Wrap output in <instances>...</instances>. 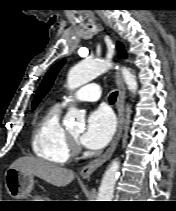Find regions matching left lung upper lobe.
<instances>
[{"label": "left lung upper lobe", "mask_w": 176, "mask_h": 211, "mask_svg": "<svg viewBox=\"0 0 176 211\" xmlns=\"http://www.w3.org/2000/svg\"><path fill=\"white\" fill-rule=\"evenodd\" d=\"M119 56L125 58L126 57V53L123 49H120L118 51ZM65 60H62L60 62H58L57 64H55L46 74V76L44 77L40 87L38 88V91L34 97V100L32 102V108L34 109L37 104L40 102V100L44 97V95L49 91V89L51 88L53 81L58 73V71L60 70V68L62 67V65L64 64Z\"/></svg>", "instance_id": "5c2ea615"}]
</instances>
